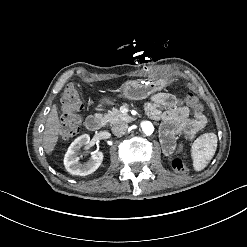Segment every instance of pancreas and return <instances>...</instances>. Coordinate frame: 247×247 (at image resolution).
I'll list each match as a JSON object with an SVG mask.
<instances>
[{"label": "pancreas", "mask_w": 247, "mask_h": 247, "mask_svg": "<svg viewBox=\"0 0 247 247\" xmlns=\"http://www.w3.org/2000/svg\"><path fill=\"white\" fill-rule=\"evenodd\" d=\"M104 117L107 119L108 122L114 124L121 121H126L128 119V114L122 113L120 110H118L115 107H112L105 115Z\"/></svg>", "instance_id": "cf45deb5"}]
</instances>
